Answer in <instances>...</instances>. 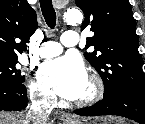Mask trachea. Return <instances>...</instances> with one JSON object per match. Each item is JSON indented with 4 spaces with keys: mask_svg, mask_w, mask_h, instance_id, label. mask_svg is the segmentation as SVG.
Here are the masks:
<instances>
[{
    "mask_svg": "<svg viewBox=\"0 0 145 124\" xmlns=\"http://www.w3.org/2000/svg\"><path fill=\"white\" fill-rule=\"evenodd\" d=\"M40 7L47 25L50 28H54L56 25V13L53 8L52 1L40 0Z\"/></svg>",
    "mask_w": 145,
    "mask_h": 124,
    "instance_id": "trachea-1",
    "label": "trachea"
}]
</instances>
